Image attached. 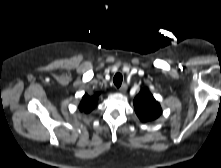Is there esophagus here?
<instances>
[{
  "label": "esophagus",
  "mask_w": 221,
  "mask_h": 168,
  "mask_svg": "<svg viewBox=\"0 0 221 168\" xmlns=\"http://www.w3.org/2000/svg\"><path fill=\"white\" fill-rule=\"evenodd\" d=\"M127 90V85L126 84H123L120 88H119V92L120 93H125Z\"/></svg>",
  "instance_id": "1"
}]
</instances>
